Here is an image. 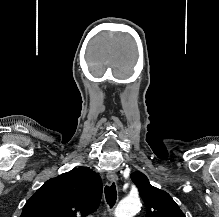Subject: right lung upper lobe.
Returning <instances> with one entry per match:
<instances>
[{"label":"right lung upper lobe","instance_id":"cb5924a9","mask_svg":"<svg viewBox=\"0 0 219 217\" xmlns=\"http://www.w3.org/2000/svg\"><path fill=\"white\" fill-rule=\"evenodd\" d=\"M101 194L100 176L88 168H76L46 181L20 217H86L97 210Z\"/></svg>","mask_w":219,"mask_h":217}]
</instances>
